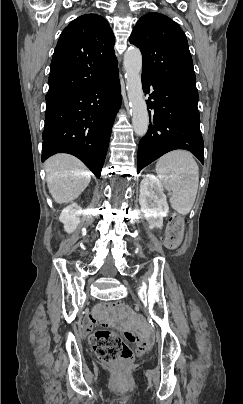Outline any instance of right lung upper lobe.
Instances as JSON below:
<instances>
[{
	"mask_svg": "<svg viewBox=\"0 0 243 404\" xmlns=\"http://www.w3.org/2000/svg\"><path fill=\"white\" fill-rule=\"evenodd\" d=\"M114 43L102 16L85 14L73 20L55 48L45 99L80 90L116 72Z\"/></svg>",
	"mask_w": 243,
	"mask_h": 404,
	"instance_id": "right-lung-upper-lobe-1",
	"label": "right lung upper lobe"
}]
</instances>
